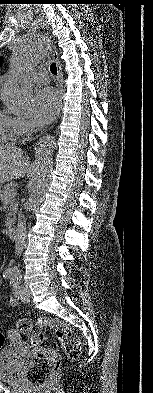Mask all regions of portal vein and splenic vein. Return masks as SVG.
Segmentation results:
<instances>
[{
  "label": "portal vein and splenic vein",
  "instance_id": "1",
  "mask_svg": "<svg viewBox=\"0 0 153 393\" xmlns=\"http://www.w3.org/2000/svg\"><path fill=\"white\" fill-rule=\"evenodd\" d=\"M15 195H16V189L13 188L12 190H10L8 197L11 198V197H14Z\"/></svg>",
  "mask_w": 153,
  "mask_h": 393
}]
</instances>
